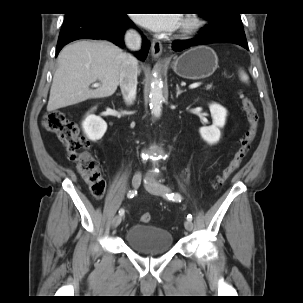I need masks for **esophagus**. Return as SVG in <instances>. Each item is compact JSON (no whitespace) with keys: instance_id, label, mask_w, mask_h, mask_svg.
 <instances>
[{"instance_id":"1","label":"esophagus","mask_w":303,"mask_h":303,"mask_svg":"<svg viewBox=\"0 0 303 303\" xmlns=\"http://www.w3.org/2000/svg\"><path fill=\"white\" fill-rule=\"evenodd\" d=\"M151 54L155 59H159L162 54V43L157 39L151 41Z\"/></svg>"}]
</instances>
